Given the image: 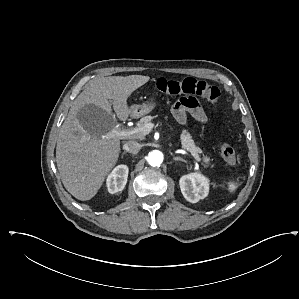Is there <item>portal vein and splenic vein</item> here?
Listing matches in <instances>:
<instances>
[{"mask_svg":"<svg viewBox=\"0 0 299 299\" xmlns=\"http://www.w3.org/2000/svg\"><path fill=\"white\" fill-rule=\"evenodd\" d=\"M155 127L154 123H148L145 125L144 128H134L131 130H121L120 127H114L111 131H109L103 138L110 139V138H134L138 135H146L148 134L153 128Z\"/></svg>","mask_w":299,"mask_h":299,"instance_id":"portal-vein-and-splenic-vein-1","label":"portal vein and splenic vein"}]
</instances>
